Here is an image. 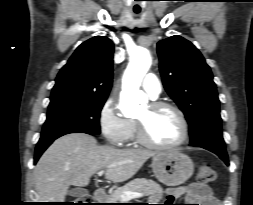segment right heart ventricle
I'll return each instance as SVG.
<instances>
[{
  "instance_id": "right-heart-ventricle-1",
  "label": "right heart ventricle",
  "mask_w": 253,
  "mask_h": 205,
  "mask_svg": "<svg viewBox=\"0 0 253 205\" xmlns=\"http://www.w3.org/2000/svg\"><path fill=\"white\" fill-rule=\"evenodd\" d=\"M135 136H136L135 122L131 121V129H130V133H129L128 139H134Z\"/></svg>"
}]
</instances>
